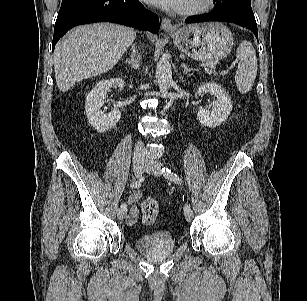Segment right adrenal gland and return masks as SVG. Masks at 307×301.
Wrapping results in <instances>:
<instances>
[{
    "mask_svg": "<svg viewBox=\"0 0 307 301\" xmlns=\"http://www.w3.org/2000/svg\"><path fill=\"white\" fill-rule=\"evenodd\" d=\"M131 59H126L125 63L129 64L132 69L137 70L139 68L138 50L135 49V45L131 47Z\"/></svg>",
    "mask_w": 307,
    "mask_h": 301,
    "instance_id": "2a0ac1e0",
    "label": "right adrenal gland"
}]
</instances>
